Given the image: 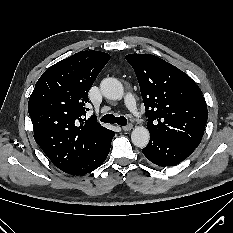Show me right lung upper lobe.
I'll list each match as a JSON object with an SVG mask.
<instances>
[{"mask_svg":"<svg viewBox=\"0 0 233 233\" xmlns=\"http://www.w3.org/2000/svg\"><path fill=\"white\" fill-rule=\"evenodd\" d=\"M110 55L78 52L48 68L29 99L34 139L61 170L96 153L113 135L96 117L86 119L88 92Z\"/></svg>","mask_w":233,"mask_h":233,"instance_id":"cb5924a9","label":"right lung upper lobe"}]
</instances>
